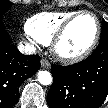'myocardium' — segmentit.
I'll return each mask as SVG.
<instances>
[{"mask_svg": "<svg viewBox=\"0 0 108 108\" xmlns=\"http://www.w3.org/2000/svg\"><path fill=\"white\" fill-rule=\"evenodd\" d=\"M83 16H91L94 19L95 24H96V31H95L94 38L91 41V43L89 44V46L82 52L73 54V55L64 54L59 48L60 43L64 39L65 35L67 34L68 30L73 25V23ZM100 34H101L100 21L94 13L89 12V11L77 12L76 14L71 16L68 20H66L63 23V25L59 28V30L56 32V34L54 35V37L52 38L51 43H50L51 51H52L53 55L59 61H61L63 63L72 64V63L82 61L93 52V50L95 49V47L98 44Z\"/></svg>", "mask_w": 108, "mask_h": 108, "instance_id": "1", "label": "myocardium"}]
</instances>
